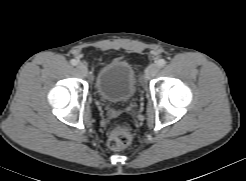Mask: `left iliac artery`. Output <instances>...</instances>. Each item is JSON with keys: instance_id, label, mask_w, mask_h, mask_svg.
I'll list each match as a JSON object with an SVG mask.
<instances>
[{"instance_id": "44dca946", "label": "left iliac artery", "mask_w": 246, "mask_h": 181, "mask_svg": "<svg viewBox=\"0 0 246 181\" xmlns=\"http://www.w3.org/2000/svg\"><path fill=\"white\" fill-rule=\"evenodd\" d=\"M157 64H158L159 67H163L166 64V61L164 59H159L157 61Z\"/></svg>"}]
</instances>
